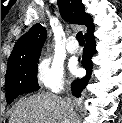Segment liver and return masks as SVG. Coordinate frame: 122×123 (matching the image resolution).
<instances>
[{"label": "liver", "instance_id": "6515ba94", "mask_svg": "<svg viewBox=\"0 0 122 123\" xmlns=\"http://www.w3.org/2000/svg\"><path fill=\"white\" fill-rule=\"evenodd\" d=\"M76 122V113L70 114L65 109L63 99L52 93L34 94L19 100L9 119V123Z\"/></svg>", "mask_w": 122, "mask_h": 123}]
</instances>
